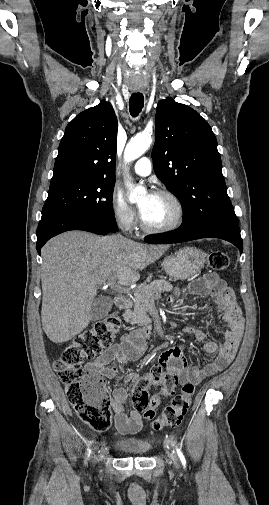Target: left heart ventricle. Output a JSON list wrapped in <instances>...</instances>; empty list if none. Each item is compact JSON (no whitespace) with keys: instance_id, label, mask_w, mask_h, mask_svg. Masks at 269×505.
Listing matches in <instances>:
<instances>
[{"instance_id":"1","label":"left heart ventricle","mask_w":269,"mask_h":505,"mask_svg":"<svg viewBox=\"0 0 269 505\" xmlns=\"http://www.w3.org/2000/svg\"><path fill=\"white\" fill-rule=\"evenodd\" d=\"M147 206L142 215L144 220L152 226H163L173 222L177 216L174 203L167 197L156 195L147 203L146 196L140 200V207Z\"/></svg>"}]
</instances>
